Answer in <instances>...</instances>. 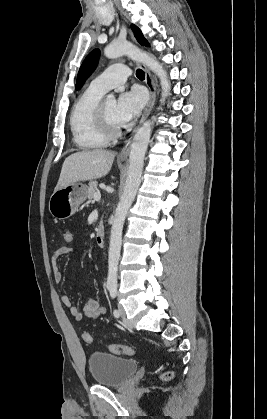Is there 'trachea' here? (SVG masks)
<instances>
[{
	"label": "trachea",
	"instance_id": "1",
	"mask_svg": "<svg viewBox=\"0 0 267 419\" xmlns=\"http://www.w3.org/2000/svg\"><path fill=\"white\" fill-rule=\"evenodd\" d=\"M136 76H137V78L138 79H144L145 78V73H144V71L143 70H141V69H138L137 71H136Z\"/></svg>",
	"mask_w": 267,
	"mask_h": 419
}]
</instances>
